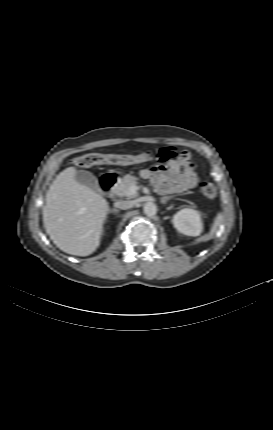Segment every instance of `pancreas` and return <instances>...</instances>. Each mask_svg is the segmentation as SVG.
Segmentation results:
<instances>
[{"mask_svg": "<svg viewBox=\"0 0 273 430\" xmlns=\"http://www.w3.org/2000/svg\"><path fill=\"white\" fill-rule=\"evenodd\" d=\"M136 184H137V181H136V178L134 176L129 175V174L125 175L121 179L120 183L115 186L114 192L117 196H120V197L133 198L136 196L137 192L135 194H132V195H128V192H129V188L132 185H136Z\"/></svg>", "mask_w": 273, "mask_h": 430, "instance_id": "obj_1", "label": "pancreas"}]
</instances>
